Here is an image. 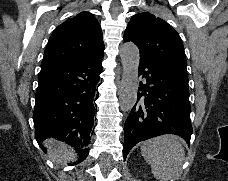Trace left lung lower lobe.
<instances>
[{
    "label": "left lung lower lobe",
    "mask_w": 228,
    "mask_h": 181,
    "mask_svg": "<svg viewBox=\"0 0 228 181\" xmlns=\"http://www.w3.org/2000/svg\"><path fill=\"white\" fill-rule=\"evenodd\" d=\"M137 102L125 126L123 155L140 141L163 134L182 136L189 144L192 134L187 70L168 62L140 57Z\"/></svg>",
    "instance_id": "left-lung-lower-lobe-1"
}]
</instances>
